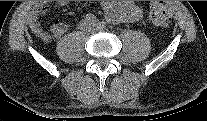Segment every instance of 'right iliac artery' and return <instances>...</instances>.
Here are the masks:
<instances>
[{
    "mask_svg": "<svg viewBox=\"0 0 207 121\" xmlns=\"http://www.w3.org/2000/svg\"><path fill=\"white\" fill-rule=\"evenodd\" d=\"M86 20L91 24H97L98 19L93 14H87Z\"/></svg>",
    "mask_w": 207,
    "mask_h": 121,
    "instance_id": "1",
    "label": "right iliac artery"
}]
</instances>
